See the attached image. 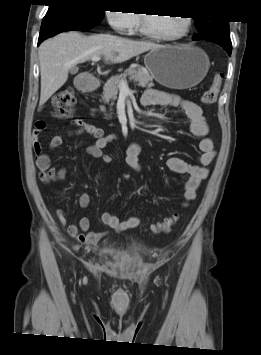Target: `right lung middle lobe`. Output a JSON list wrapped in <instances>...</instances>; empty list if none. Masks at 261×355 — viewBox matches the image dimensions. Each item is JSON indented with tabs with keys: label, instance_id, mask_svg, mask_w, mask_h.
<instances>
[{
	"label": "right lung middle lobe",
	"instance_id": "dd1d6c3e",
	"mask_svg": "<svg viewBox=\"0 0 261 355\" xmlns=\"http://www.w3.org/2000/svg\"><path fill=\"white\" fill-rule=\"evenodd\" d=\"M91 0H68L50 5L49 10H63L75 12L93 23H100L104 17V10L98 8ZM48 10V11H49Z\"/></svg>",
	"mask_w": 261,
	"mask_h": 355
}]
</instances>
